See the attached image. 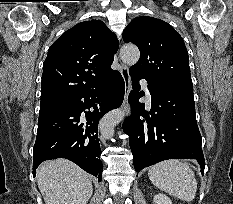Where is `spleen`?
Listing matches in <instances>:
<instances>
[{
	"label": "spleen",
	"mask_w": 233,
	"mask_h": 204,
	"mask_svg": "<svg viewBox=\"0 0 233 204\" xmlns=\"http://www.w3.org/2000/svg\"><path fill=\"white\" fill-rule=\"evenodd\" d=\"M148 176L154 186L182 201L191 202L196 196L195 174L182 161H162L149 169Z\"/></svg>",
	"instance_id": "obj_1"
}]
</instances>
